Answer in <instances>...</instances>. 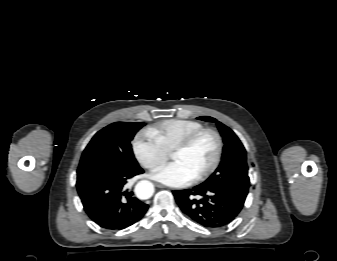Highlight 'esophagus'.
Wrapping results in <instances>:
<instances>
[{
	"label": "esophagus",
	"mask_w": 337,
	"mask_h": 261,
	"mask_svg": "<svg viewBox=\"0 0 337 261\" xmlns=\"http://www.w3.org/2000/svg\"><path fill=\"white\" fill-rule=\"evenodd\" d=\"M155 185H156V187L161 188V189L166 188V186H164L163 184H160V183H156Z\"/></svg>",
	"instance_id": "1"
}]
</instances>
